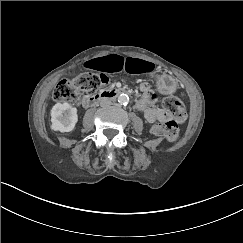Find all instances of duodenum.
Masks as SVG:
<instances>
[{
    "label": "duodenum",
    "instance_id": "410a0bca",
    "mask_svg": "<svg viewBox=\"0 0 243 243\" xmlns=\"http://www.w3.org/2000/svg\"><path fill=\"white\" fill-rule=\"evenodd\" d=\"M126 92L127 91L122 88H109V89L103 90L97 94L85 96L82 99V105L86 108L91 107V106L96 105L97 103H99L102 100L114 99L117 96H119L120 94L126 93Z\"/></svg>",
    "mask_w": 243,
    "mask_h": 243
}]
</instances>
